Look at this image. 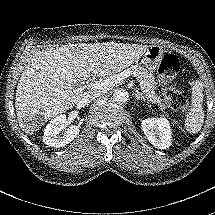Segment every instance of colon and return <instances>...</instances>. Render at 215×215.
Masks as SVG:
<instances>
[{
  "instance_id": "obj_1",
  "label": "colon",
  "mask_w": 215,
  "mask_h": 215,
  "mask_svg": "<svg viewBox=\"0 0 215 215\" xmlns=\"http://www.w3.org/2000/svg\"><path fill=\"white\" fill-rule=\"evenodd\" d=\"M180 70V61L175 54L165 55L158 68L159 84L164 86L177 77ZM163 96L167 104L175 109L188 112L191 108L190 102L185 94L177 89H167L163 92Z\"/></svg>"
}]
</instances>
